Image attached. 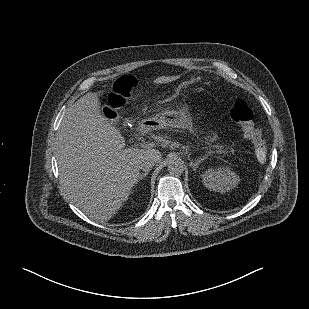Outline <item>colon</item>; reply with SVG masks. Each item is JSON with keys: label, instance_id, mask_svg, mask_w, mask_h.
<instances>
[{"label": "colon", "instance_id": "obj_1", "mask_svg": "<svg viewBox=\"0 0 309 309\" xmlns=\"http://www.w3.org/2000/svg\"><path fill=\"white\" fill-rule=\"evenodd\" d=\"M136 85L137 80L132 75H123L116 79L103 94L104 112L115 114L122 109ZM230 117L240 125L244 135L252 141L257 159L265 161L267 158L266 142L254 123L253 112L248 104L241 99L235 101Z\"/></svg>", "mask_w": 309, "mask_h": 309}]
</instances>
